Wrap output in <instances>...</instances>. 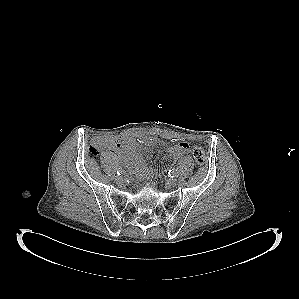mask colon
I'll return each instance as SVG.
<instances>
[{
    "label": "colon",
    "instance_id": "5ec220e1",
    "mask_svg": "<svg viewBox=\"0 0 299 299\" xmlns=\"http://www.w3.org/2000/svg\"><path fill=\"white\" fill-rule=\"evenodd\" d=\"M107 144V139L106 138H95L93 139L91 146H90V152L93 156H97L101 154L103 151L104 147ZM192 156L198 166H203L205 161H206V154L205 151L200 148V147H193L192 150Z\"/></svg>",
    "mask_w": 299,
    "mask_h": 299
}]
</instances>
